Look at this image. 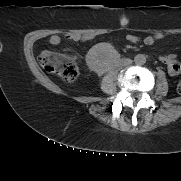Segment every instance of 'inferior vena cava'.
Segmentation results:
<instances>
[{
  "label": "inferior vena cava",
  "mask_w": 181,
  "mask_h": 181,
  "mask_svg": "<svg viewBox=\"0 0 181 181\" xmlns=\"http://www.w3.org/2000/svg\"><path fill=\"white\" fill-rule=\"evenodd\" d=\"M121 63L123 66L130 65L132 63V60L129 58H124L121 60Z\"/></svg>",
  "instance_id": "obj_1"
}]
</instances>
